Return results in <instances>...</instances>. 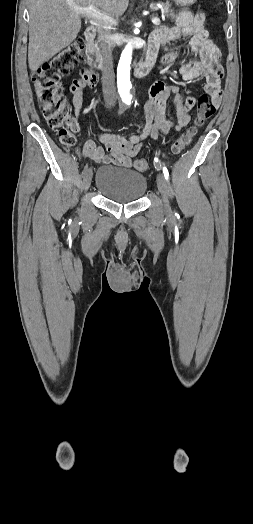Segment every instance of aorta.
Listing matches in <instances>:
<instances>
[{
    "label": "aorta",
    "instance_id": "1",
    "mask_svg": "<svg viewBox=\"0 0 253 524\" xmlns=\"http://www.w3.org/2000/svg\"><path fill=\"white\" fill-rule=\"evenodd\" d=\"M132 60V46L128 44L123 50L117 68L118 91L123 101H130V65Z\"/></svg>",
    "mask_w": 253,
    "mask_h": 524
}]
</instances>
